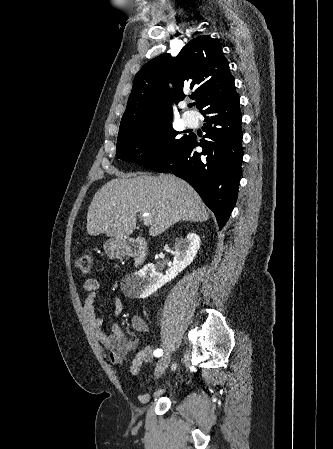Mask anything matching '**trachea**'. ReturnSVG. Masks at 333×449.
<instances>
[{"label": "trachea", "mask_w": 333, "mask_h": 449, "mask_svg": "<svg viewBox=\"0 0 333 449\" xmlns=\"http://www.w3.org/2000/svg\"><path fill=\"white\" fill-rule=\"evenodd\" d=\"M193 105H195V103H193ZM189 106L191 107L192 105H191V104H189Z\"/></svg>", "instance_id": "trachea-1"}]
</instances>
